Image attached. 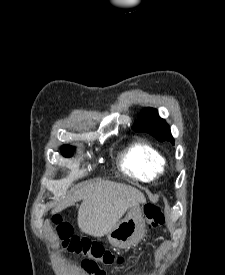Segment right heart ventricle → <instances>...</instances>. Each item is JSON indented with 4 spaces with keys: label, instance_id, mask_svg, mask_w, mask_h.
<instances>
[{
    "label": "right heart ventricle",
    "instance_id": "1",
    "mask_svg": "<svg viewBox=\"0 0 225 275\" xmlns=\"http://www.w3.org/2000/svg\"><path fill=\"white\" fill-rule=\"evenodd\" d=\"M120 166L127 174L145 182L158 178L166 168L162 154L146 141L133 142L122 153Z\"/></svg>",
    "mask_w": 225,
    "mask_h": 275
}]
</instances>
